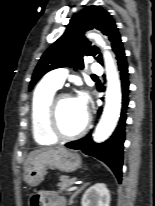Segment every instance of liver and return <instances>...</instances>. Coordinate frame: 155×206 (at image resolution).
Instances as JSON below:
<instances>
[{"label": "liver", "instance_id": "liver-1", "mask_svg": "<svg viewBox=\"0 0 155 206\" xmlns=\"http://www.w3.org/2000/svg\"><path fill=\"white\" fill-rule=\"evenodd\" d=\"M48 150H53V148H41V149L32 151V152L29 154V156H28V158H27V160H26V162H25V171H26V169H27V166H28L29 162L31 161V159L33 158L34 155H36V154L39 153V152L48 151Z\"/></svg>", "mask_w": 155, "mask_h": 206}]
</instances>
